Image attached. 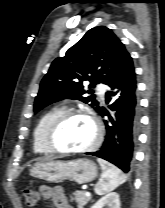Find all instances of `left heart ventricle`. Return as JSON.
<instances>
[{
    "label": "left heart ventricle",
    "mask_w": 165,
    "mask_h": 208,
    "mask_svg": "<svg viewBox=\"0 0 165 208\" xmlns=\"http://www.w3.org/2000/svg\"><path fill=\"white\" fill-rule=\"evenodd\" d=\"M94 139V127L85 117L67 120L55 134L58 147L80 149L88 146Z\"/></svg>",
    "instance_id": "left-heart-ventricle-1"
}]
</instances>
